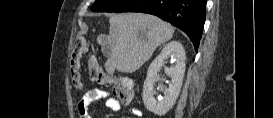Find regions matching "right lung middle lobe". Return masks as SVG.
Here are the masks:
<instances>
[{"label": "right lung middle lobe", "instance_id": "dd1d6c3e", "mask_svg": "<svg viewBox=\"0 0 273 118\" xmlns=\"http://www.w3.org/2000/svg\"><path fill=\"white\" fill-rule=\"evenodd\" d=\"M128 0H96L92 5L93 12H115Z\"/></svg>", "mask_w": 273, "mask_h": 118}]
</instances>
